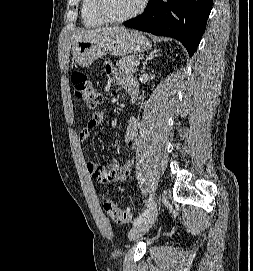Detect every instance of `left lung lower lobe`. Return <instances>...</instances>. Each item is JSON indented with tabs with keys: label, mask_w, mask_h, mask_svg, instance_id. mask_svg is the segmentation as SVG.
<instances>
[{
	"label": "left lung lower lobe",
	"mask_w": 253,
	"mask_h": 271,
	"mask_svg": "<svg viewBox=\"0 0 253 271\" xmlns=\"http://www.w3.org/2000/svg\"><path fill=\"white\" fill-rule=\"evenodd\" d=\"M213 0H150L145 12L125 26L179 40L189 56L205 31Z\"/></svg>",
	"instance_id": "left-lung-lower-lobe-1"
}]
</instances>
